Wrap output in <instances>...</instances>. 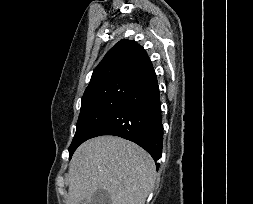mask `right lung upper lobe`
<instances>
[{"label": "right lung upper lobe", "instance_id": "cb5924a9", "mask_svg": "<svg viewBox=\"0 0 253 204\" xmlns=\"http://www.w3.org/2000/svg\"><path fill=\"white\" fill-rule=\"evenodd\" d=\"M153 71L152 63L139 44L121 40L115 44L95 68L85 92L119 81L139 82Z\"/></svg>", "mask_w": 253, "mask_h": 204}]
</instances>
